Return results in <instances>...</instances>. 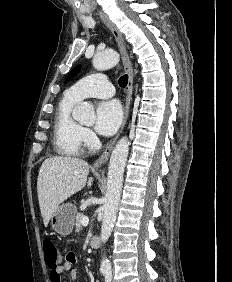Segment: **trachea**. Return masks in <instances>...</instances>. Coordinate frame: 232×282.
<instances>
[{"label": "trachea", "mask_w": 232, "mask_h": 282, "mask_svg": "<svg viewBox=\"0 0 232 282\" xmlns=\"http://www.w3.org/2000/svg\"><path fill=\"white\" fill-rule=\"evenodd\" d=\"M118 83L120 87H125L128 83V75L121 76L118 80Z\"/></svg>", "instance_id": "1"}]
</instances>
